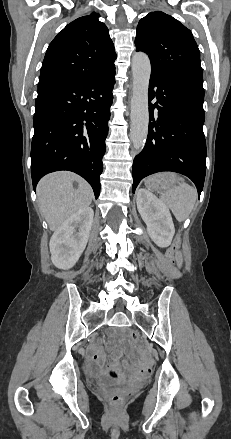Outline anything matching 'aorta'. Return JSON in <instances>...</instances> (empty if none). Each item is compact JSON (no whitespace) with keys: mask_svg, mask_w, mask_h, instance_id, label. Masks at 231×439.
I'll list each match as a JSON object with an SVG mask.
<instances>
[{"mask_svg":"<svg viewBox=\"0 0 231 439\" xmlns=\"http://www.w3.org/2000/svg\"><path fill=\"white\" fill-rule=\"evenodd\" d=\"M151 64L145 53L132 57L133 94L131 97L130 139L135 150L144 147L149 125L148 88Z\"/></svg>","mask_w":231,"mask_h":439,"instance_id":"1","label":"aorta"}]
</instances>
